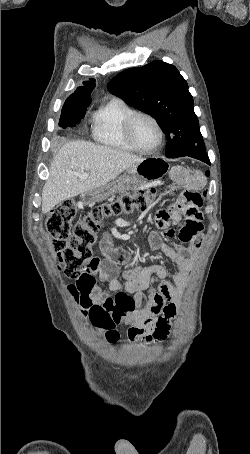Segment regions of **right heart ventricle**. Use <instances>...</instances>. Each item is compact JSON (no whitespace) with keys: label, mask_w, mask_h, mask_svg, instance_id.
Listing matches in <instances>:
<instances>
[{"label":"right heart ventricle","mask_w":250,"mask_h":454,"mask_svg":"<svg viewBox=\"0 0 250 454\" xmlns=\"http://www.w3.org/2000/svg\"><path fill=\"white\" fill-rule=\"evenodd\" d=\"M135 111L120 99H111L102 104L93 114L91 132L99 144L125 152L135 151L127 142L124 133L125 120Z\"/></svg>","instance_id":"e07e8e85"}]
</instances>
